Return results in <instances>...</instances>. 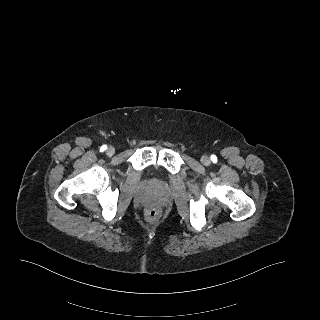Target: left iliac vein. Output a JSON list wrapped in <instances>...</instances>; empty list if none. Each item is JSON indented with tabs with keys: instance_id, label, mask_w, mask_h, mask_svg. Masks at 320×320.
I'll list each match as a JSON object with an SVG mask.
<instances>
[{
	"instance_id": "1",
	"label": "left iliac vein",
	"mask_w": 320,
	"mask_h": 320,
	"mask_svg": "<svg viewBox=\"0 0 320 320\" xmlns=\"http://www.w3.org/2000/svg\"><path fill=\"white\" fill-rule=\"evenodd\" d=\"M201 162L204 164V165H209L210 164V158L208 156H202L201 157Z\"/></svg>"
}]
</instances>
